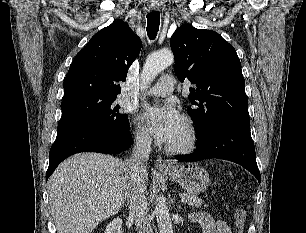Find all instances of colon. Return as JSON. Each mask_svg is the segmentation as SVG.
<instances>
[{
	"mask_svg": "<svg viewBox=\"0 0 306 233\" xmlns=\"http://www.w3.org/2000/svg\"><path fill=\"white\" fill-rule=\"evenodd\" d=\"M245 221L246 210L242 207L237 208L234 213V222L236 225L237 233H242Z\"/></svg>",
	"mask_w": 306,
	"mask_h": 233,
	"instance_id": "1",
	"label": "colon"
}]
</instances>
